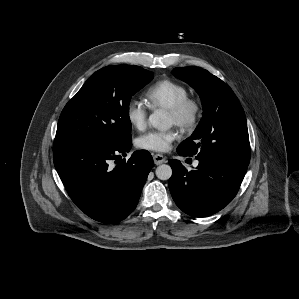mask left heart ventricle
<instances>
[{
	"instance_id": "1",
	"label": "left heart ventricle",
	"mask_w": 299,
	"mask_h": 299,
	"mask_svg": "<svg viewBox=\"0 0 299 299\" xmlns=\"http://www.w3.org/2000/svg\"><path fill=\"white\" fill-rule=\"evenodd\" d=\"M167 118H168V123H169V124H174L173 117H172L169 113H168Z\"/></svg>"
}]
</instances>
